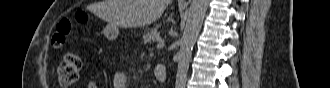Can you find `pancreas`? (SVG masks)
<instances>
[{"label": "pancreas", "instance_id": "obj_1", "mask_svg": "<svg viewBox=\"0 0 330 88\" xmlns=\"http://www.w3.org/2000/svg\"><path fill=\"white\" fill-rule=\"evenodd\" d=\"M159 40H160V35L155 30L145 33L142 38V41L144 42V44H146V43L152 44L155 41H159Z\"/></svg>", "mask_w": 330, "mask_h": 88}]
</instances>
